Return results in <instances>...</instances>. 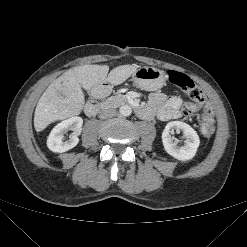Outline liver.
<instances>
[{
  "label": "liver",
  "instance_id": "6515ba94",
  "mask_svg": "<svg viewBox=\"0 0 247 247\" xmlns=\"http://www.w3.org/2000/svg\"><path fill=\"white\" fill-rule=\"evenodd\" d=\"M137 68V65H121L109 72L108 65L95 64L68 70L51 83L40 97L34 113L35 130L40 132L52 122L80 114L85 101L82 88L91 90L106 82L119 85Z\"/></svg>",
  "mask_w": 247,
  "mask_h": 247
}]
</instances>
